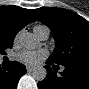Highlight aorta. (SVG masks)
Returning <instances> with one entry per match:
<instances>
[{
    "label": "aorta",
    "mask_w": 89,
    "mask_h": 89,
    "mask_svg": "<svg viewBox=\"0 0 89 89\" xmlns=\"http://www.w3.org/2000/svg\"><path fill=\"white\" fill-rule=\"evenodd\" d=\"M21 44L24 48L33 50L40 46V41L33 33H25L21 37ZM47 71L44 67L39 66L32 72V77L36 81H42L46 78Z\"/></svg>",
    "instance_id": "762f6f07"
}]
</instances>
